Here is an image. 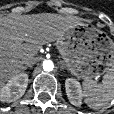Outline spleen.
Here are the masks:
<instances>
[{"label": "spleen", "instance_id": "3e777b00", "mask_svg": "<svg viewBox=\"0 0 114 114\" xmlns=\"http://www.w3.org/2000/svg\"><path fill=\"white\" fill-rule=\"evenodd\" d=\"M83 97L85 103L92 109H100L114 99V67L105 73L100 84L85 80Z\"/></svg>", "mask_w": 114, "mask_h": 114}]
</instances>
